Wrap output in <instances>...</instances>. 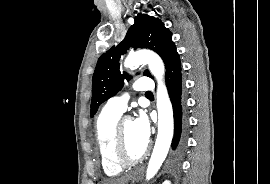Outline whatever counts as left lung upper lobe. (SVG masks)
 <instances>
[{
	"label": "left lung upper lobe",
	"mask_w": 270,
	"mask_h": 184,
	"mask_svg": "<svg viewBox=\"0 0 270 184\" xmlns=\"http://www.w3.org/2000/svg\"><path fill=\"white\" fill-rule=\"evenodd\" d=\"M129 47L155 51L162 58L165 68L177 53L172 41V32L164 26L163 22L149 15L138 14L124 40L98 59L92 79L91 117L104 101L117 94L124 85V79H130L128 74H121L119 70L121 55L125 54ZM144 75L152 77L148 70L144 71Z\"/></svg>",
	"instance_id": "5c2ea615"
}]
</instances>
